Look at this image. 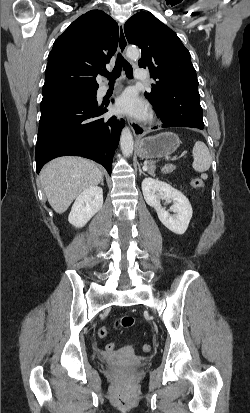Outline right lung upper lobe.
<instances>
[{
  "label": "right lung upper lobe",
  "instance_id": "right-lung-upper-lobe-1",
  "mask_svg": "<svg viewBox=\"0 0 250 413\" xmlns=\"http://www.w3.org/2000/svg\"><path fill=\"white\" fill-rule=\"evenodd\" d=\"M118 35V24L101 10L72 22L49 53L43 96L67 89H98L96 76L115 54Z\"/></svg>",
  "mask_w": 250,
  "mask_h": 413
}]
</instances>
